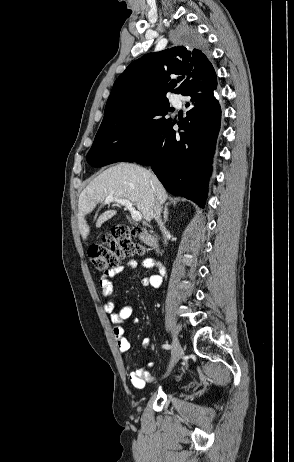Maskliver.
Segmentation results:
<instances>
[{
	"mask_svg": "<svg viewBox=\"0 0 294 462\" xmlns=\"http://www.w3.org/2000/svg\"><path fill=\"white\" fill-rule=\"evenodd\" d=\"M107 196L130 200L150 222L156 202L163 204L168 195L160 181L147 169L136 164L119 163L109 167L81 192L78 201V225L83 240H86L90 228L85 217ZM117 213L107 210L96 222L99 228Z\"/></svg>",
	"mask_w": 294,
	"mask_h": 462,
	"instance_id": "1",
	"label": "liver"
}]
</instances>
